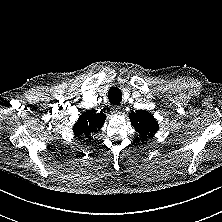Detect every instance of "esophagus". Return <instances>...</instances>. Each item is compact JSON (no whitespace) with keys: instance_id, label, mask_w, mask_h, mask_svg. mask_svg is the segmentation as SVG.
<instances>
[{"instance_id":"obj_1","label":"esophagus","mask_w":222,"mask_h":222,"mask_svg":"<svg viewBox=\"0 0 222 222\" xmlns=\"http://www.w3.org/2000/svg\"><path fill=\"white\" fill-rule=\"evenodd\" d=\"M111 112L112 114H115V115H118V114H121V107L118 106V105H114L112 108H111Z\"/></svg>"}]
</instances>
